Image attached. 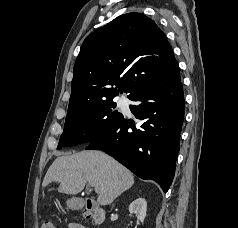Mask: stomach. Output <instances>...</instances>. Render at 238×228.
I'll return each instance as SVG.
<instances>
[{"label":"stomach","mask_w":238,"mask_h":228,"mask_svg":"<svg viewBox=\"0 0 238 228\" xmlns=\"http://www.w3.org/2000/svg\"><path fill=\"white\" fill-rule=\"evenodd\" d=\"M68 205L70 206V207H77L79 204H78V202H77V200L76 199H71V200H69L68 201Z\"/></svg>","instance_id":"0dacf381"}]
</instances>
